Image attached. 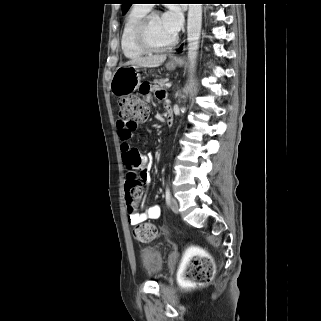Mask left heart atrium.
Masks as SVG:
<instances>
[{
	"instance_id": "obj_1",
	"label": "left heart atrium",
	"mask_w": 321,
	"mask_h": 321,
	"mask_svg": "<svg viewBox=\"0 0 321 321\" xmlns=\"http://www.w3.org/2000/svg\"><path fill=\"white\" fill-rule=\"evenodd\" d=\"M161 19L164 25L175 35L182 27L183 17L177 7H171L161 16Z\"/></svg>"
}]
</instances>
